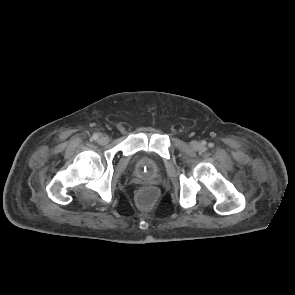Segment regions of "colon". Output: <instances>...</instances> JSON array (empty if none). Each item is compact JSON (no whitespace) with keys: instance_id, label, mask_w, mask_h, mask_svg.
Returning a JSON list of instances; mask_svg holds the SVG:
<instances>
[{"instance_id":"obj_1","label":"colon","mask_w":295,"mask_h":295,"mask_svg":"<svg viewBox=\"0 0 295 295\" xmlns=\"http://www.w3.org/2000/svg\"><path fill=\"white\" fill-rule=\"evenodd\" d=\"M157 189L153 186L141 187L136 193V199L141 206H150L157 198Z\"/></svg>"}]
</instances>
